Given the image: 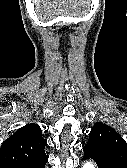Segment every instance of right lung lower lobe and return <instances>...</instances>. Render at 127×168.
I'll list each match as a JSON object with an SVG mask.
<instances>
[{"mask_svg": "<svg viewBox=\"0 0 127 168\" xmlns=\"http://www.w3.org/2000/svg\"><path fill=\"white\" fill-rule=\"evenodd\" d=\"M48 158L41 162H8L0 164V168H45Z\"/></svg>", "mask_w": 127, "mask_h": 168, "instance_id": "obj_1", "label": "right lung lower lobe"}]
</instances>
